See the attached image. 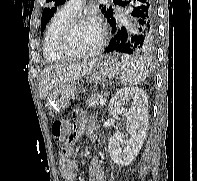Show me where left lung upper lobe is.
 <instances>
[{
	"label": "left lung upper lobe",
	"instance_id": "1",
	"mask_svg": "<svg viewBox=\"0 0 197 181\" xmlns=\"http://www.w3.org/2000/svg\"><path fill=\"white\" fill-rule=\"evenodd\" d=\"M66 0H46V2H50L53 3V6L47 7L43 10L42 12V19H41V31L44 30L46 24L50 21V19L52 18V16L54 15L56 9L58 6L62 5L63 3H65ZM101 8V6H100ZM102 13L104 14V17L107 19V21L109 22L110 20H113V8L109 7L106 8L102 7Z\"/></svg>",
	"mask_w": 197,
	"mask_h": 181
}]
</instances>
